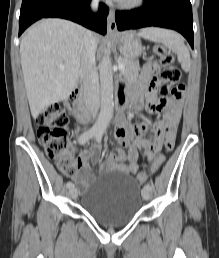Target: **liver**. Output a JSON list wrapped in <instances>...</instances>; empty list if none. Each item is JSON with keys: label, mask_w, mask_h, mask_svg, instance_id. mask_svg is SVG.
<instances>
[{"label": "liver", "mask_w": 219, "mask_h": 258, "mask_svg": "<svg viewBox=\"0 0 219 258\" xmlns=\"http://www.w3.org/2000/svg\"><path fill=\"white\" fill-rule=\"evenodd\" d=\"M87 30L63 19H42L23 35L21 66L31 113L62 101L74 89L81 68L83 37ZM96 42L99 37L95 36ZM63 65L65 69H60Z\"/></svg>", "instance_id": "1"}]
</instances>
